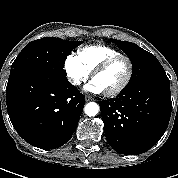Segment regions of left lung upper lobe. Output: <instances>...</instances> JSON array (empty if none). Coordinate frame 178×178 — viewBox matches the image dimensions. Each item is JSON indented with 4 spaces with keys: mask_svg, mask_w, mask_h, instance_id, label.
Wrapping results in <instances>:
<instances>
[{
    "mask_svg": "<svg viewBox=\"0 0 178 178\" xmlns=\"http://www.w3.org/2000/svg\"><path fill=\"white\" fill-rule=\"evenodd\" d=\"M130 59L133 65V75L126 87L143 82L169 80L158 59L138 45L111 39Z\"/></svg>",
    "mask_w": 178,
    "mask_h": 178,
    "instance_id": "5c2ea615",
    "label": "left lung upper lobe"
}]
</instances>
